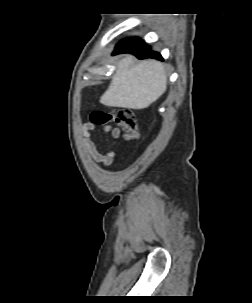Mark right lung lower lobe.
Here are the masks:
<instances>
[{"mask_svg":"<svg viewBox=\"0 0 252 303\" xmlns=\"http://www.w3.org/2000/svg\"><path fill=\"white\" fill-rule=\"evenodd\" d=\"M118 53H132L138 59L154 58L163 60L158 52L152 51L145 42L135 38H128L119 42L113 54Z\"/></svg>","mask_w":252,"mask_h":303,"instance_id":"1","label":"right lung lower lobe"}]
</instances>
